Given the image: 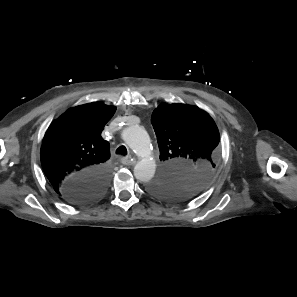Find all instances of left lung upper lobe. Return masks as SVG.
<instances>
[{"label":"left lung upper lobe","mask_w":297,"mask_h":297,"mask_svg":"<svg viewBox=\"0 0 297 297\" xmlns=\"http://www.w3.org/2000/svg\"><path fill=\"white\" fill-rule=\"evenodd\" d=\"M151 123L163 170L149 185L154 195L181 203L208 184L219 160V131L212 118L195 106L160 104Z\"/></svg>","instance_id":"5c2ea615"}]
</instances>
